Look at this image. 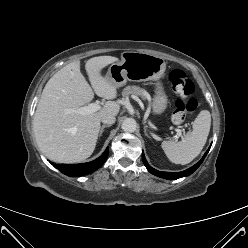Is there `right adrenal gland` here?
I'll use <instances>...</instances> for the list:
<instances>
[{
  "instance_id": "2a0ac1e0",
  "label": "right adrenal gland",
  "mask_w": 248,
  "mask_h": 248,
  "mask_svg": "<svg viewBox=\"0 0 248 248\" xmlns=\"http://www.w3.org/2000/svg\"><path fill=\"white\" fill-rule=\"evenodd\" d=\"M110 126H111V125H103V126L100 128V133H99V136H101V135H102L104 128H106V127H110Z\"/></svg>"
}]
</instances>
